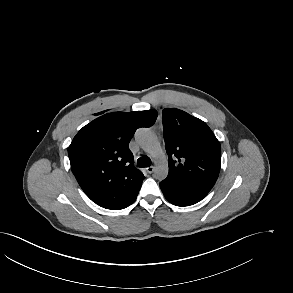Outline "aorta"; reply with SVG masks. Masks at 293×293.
Returning a JSON list of instances; mask_svg holds the SVG:
<instances>
[{"mask_svg":"<svg viewBox=\"0 0 293 293\" xmlns=\"http://www.w3.org/2000/svg\"><path fill=\"white\" fill-rule=\"evenodd\" d=\"M135 139L141 148L155 160V177L159 180L165 179L168 175V164L156 135L149 128H140L135 133Z\"/></svg>","mask_w":293,"mask_h":293,"instance_id":"762f6f07","label":"aorta"}]
</instances>
